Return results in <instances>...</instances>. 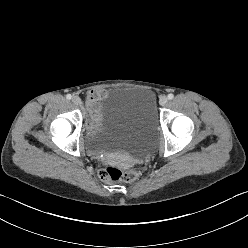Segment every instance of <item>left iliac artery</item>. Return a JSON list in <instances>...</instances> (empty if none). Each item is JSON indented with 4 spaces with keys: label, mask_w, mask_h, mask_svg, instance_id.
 <instances>
[{
    "label": "left iliac artery",
    "mask_w": 248,
    "mask_h": 248,
    "mask_svg": "<svg viewBox=\"0 0 248 248\" xmlns=\"http://www.w3.org/2000/svg\"><path fill=\"white\" fill-rule=\"evenodd\" d=\"M167 97H168V99H170V100H171V99H173V98H174V95H173L172 93H170V94H168V96H167Z\"/></svg>",
    "instance_id": "44dca946"
}]
</instances>
